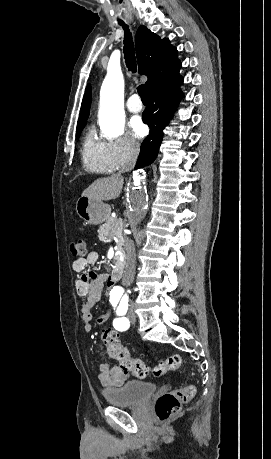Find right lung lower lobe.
Instances as JSON below:
<instances>
[{
    "instance_id": "98d812e1",
    "label": "right lung lower lobe",
    "mask_w": 271,
    "mask_h": 459,
    "mask_svg": "<svg viewBox=\"0 0 271 459\" xmlns=\"http://www.w3.org/2000/svg\"><path fill=\"white\" fill-rule=\"evenodd\" d=\"M179 72L157 83L148 91L149 107L143 112V120L150 127V134L141 144L136 169L151 164L157 157L163 136V128L183 97Z\"/></svg>"
}]
</instances>
